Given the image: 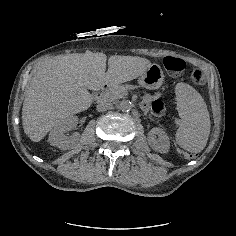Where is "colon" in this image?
<instances>
[{
	"mask_svg": "<svg viewBox=\"0 0 236 236\" xmlns=\"http://www.w3.org/2000/svg\"><path fill=\"white\" fill-rule=\"evenodd\" d=\"M163 66L168 72L180 73L183 72L187 63L183 58L167 56L163 58ZM190 81L195 85H202L205 83L206 78L203 72L199 69H195L190 74ZM151 111L157 117H163L166 114L165 103L160 98H154L151 103Z\"/></svg>",
	"mask_w": 236,
	"mask_h": 236,
	"instance_id": "obj_1",
	"label": "colon"
}]
</instances>
